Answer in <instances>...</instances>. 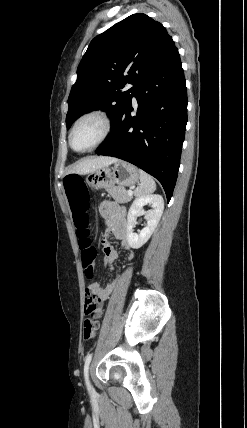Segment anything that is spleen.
Returning <instances> with one entry per match:
<instances>
[{"label":"spleen","instance_id":"obj_1","mask_svg":"<svg viewBox=\"0 0 247 428\" xmlns=\"http://www.w3.org/2000/svg\"><path fill=\"white\" fill-rule=\"evenodd\" d=\"M139 174L140 184L135 189L134 195L140 197L153 193L156 190V184L153 178L141 169L139 170Z\"/></svg>","mask_w":247,"mask_h":428}]
</instances>
